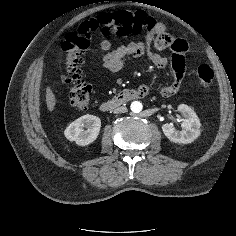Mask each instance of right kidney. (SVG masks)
I'll list each match as a JSON object with an SVG mask.
<instances>
[{
	"label": "right kidney",
	"instance_id": "ca27d5eb",
	"mask_svg": "<svg viewBox=\"0 0 236 236\" xmlns=\"http://www.w3.org/2000/svg\"><path fill=\"white\" fill-rule=\"evenodd\" d=\"M101 120L94 115H84L72 122L64 131L65 137L79 146L94 142L99 135Z\"/></svg>",
	"mask_w": 236,
	"mask_h": 236
}]
</instances>
